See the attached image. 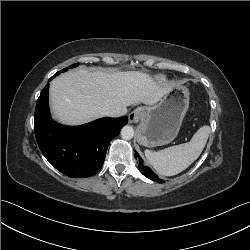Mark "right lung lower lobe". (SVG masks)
Here are the masks:
<instances>
[{"label":"right lung lower lobe","instance_id":"obj_1","mask_svg":"<svg viewBox=\"0 0 250 250\" xmlns=\"http://www.w3.org/2000/svg\"><path fill=\"white\" fill-rule=\"evenodd\" d=\"M48 90L49 84L37 100L34 116L40 150L52 166L69 177L95 175L102 168L110 141L127 124L128 117L101 118L77 127L59 125L50 117Z\"/></svg>","mask_w":250,"mask_h":250}]
</instances>
